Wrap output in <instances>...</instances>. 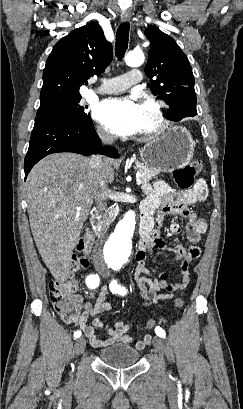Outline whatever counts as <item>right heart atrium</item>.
Here are the masks:
<instances>
[{
  "label": "right heart atrium",
  "mask_w": 243,
  "mask_h": 409,
  "mask_svg": "<svg viewBox=\"0 0 243 409\" xmlns=\"http://www.w3.org/2000/svg\"><path fill=\"white\" fill-rule=\"evenodd\" d=\"M97 133L99 135V137L104 140V141H109L111 140V136L101 127L97 128Z\"/></svg>",
  "instance_id": "right-heart-atrium-1"
}]
</instances>
